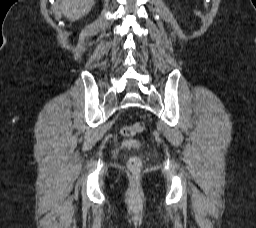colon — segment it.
Here are the masks:
<instances>
[{"label":"colon","mask_w":256,"mask_h":228,"mask_svg":"<svg viewBox=\"0 0 256 228\" xmlns=\"http://www.w3.org/2000/svg\"><path fill=\"white\" fill-rule=\"evenodd\" d=\"M144 128V123L136 122L123 127L121 132L124 136L132 137L142 133ZM127 166L132 173H138L142 167V159L139 156H133L128 160Z\"/></svg>","instance_id":"obj_1"}]
</instances>
